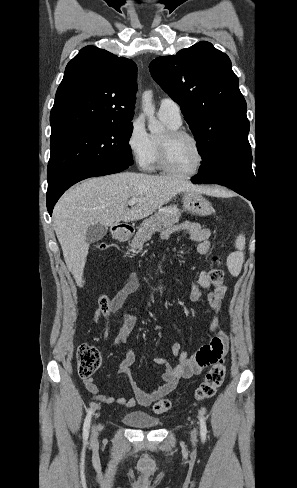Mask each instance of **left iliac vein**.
Masks as SVG:
<instances>
[{"instance_id": "left-iliac-vein-1", "label": "left iliac vein", "mask_w": 297, "mask_h": 488, "mask_svg": "<svg viewBox=\"0 0 297 488\" xmlns=\"http://www.w3.org/2000/svg\"><path fill=\"white\" fill-rule=\"evenodd\" d=\"M196 437H197V429L194 428L192 431H191V441L193 444H195V441H196Z\"/></svg>"}]
</instances>
